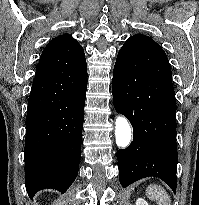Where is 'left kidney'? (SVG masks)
Returning a JSON list of instances; mask_svg holds the SVG:
<instances>
[{"instance_id":"obj_1","label":"left kidney","mask_w":199,"mask_h":205,"mask_svg":"<svg viewBox=\"0 0 199 205\" xmlns=\"http://www.w3.org/2000/svg\"><path fill=\"white\" fill-rule=\"evenodd\" d=\"M136 205H149V204L143 198H138L136 201Z\"/></svg>"}]
</instances>
